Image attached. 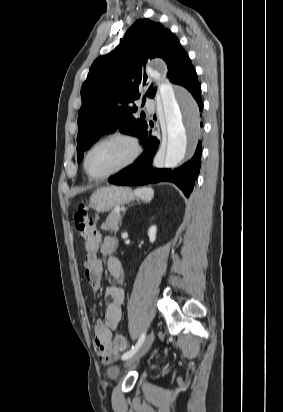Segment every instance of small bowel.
I'll list each match as a JSON object with an SVG mask.
<instances>
[{
    "label": "small bowel",
    "mask_w": 283,
    "mask_h": 412,
    "mask_svg": "<svg viewBox=\"0 0 283 412\" xmlns=\"http://www.w3.org/2000/svg\"><path fill=\"white\" fill-rule=\"evenodd\" d=\"M97 239L102 257L98 258L95 254L86 256L85 276L93 290L98 291L101 287L104 267H106L114 282L106 289L107 306L104 319H97L93 328L98 355L104 363L108 364L118 356V352H111L108 355L105 352L110 350L112 331L117 329L122 318L124 270L119 259L113 256L117 247L116 239L102 236L100 233H97ZM103 348L107 350L103 351Z\"/></svg>",
    "instance_id": "obj_1"
}]
</instances>
